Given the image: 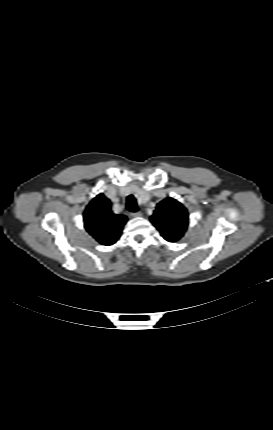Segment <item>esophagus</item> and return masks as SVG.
I'll return each instance as SVG.
<instances>
[{
	"mask_svg": "<svg viewBox=\"0 0 273 430\" xmlns=\"http://www.w3.org/2000/svg\"><path fill=\"white\" fill-rule=\"evenodd\" d=\"M130 216L131 217H141L142 213L140 211H138V212H132V213H130Z\"/></svg>",
	"mask_w": 273,
	"mask_h": 430,
	"instance_id": "34e87169",
	"label": "esophagus"
}]
</instances>
